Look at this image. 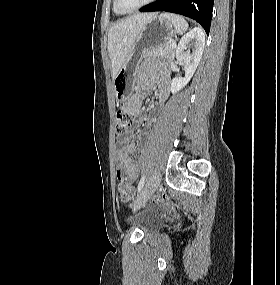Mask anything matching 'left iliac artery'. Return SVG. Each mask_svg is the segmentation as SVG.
I'll return each instance as SVG.
<instances>
[{
  "label": "left iliac artery",
  "mask_w": 280,
  "mask_h": 285,
  "mask_svg": "<svg viewBox=\"0 0 280 285\" xmlns=\"http://www.w3.org/2000/svg\"><path fill=\"white\" fill-rule=\"evenodd\" d=\"M145 179H146V176L143 175L141 180H140V182H139V184H138V187H137L138 192H140L142 190V188H143V186L145 184Z\"/></svg>",
  "instance_id": "44dca946"
}]
</instances>
